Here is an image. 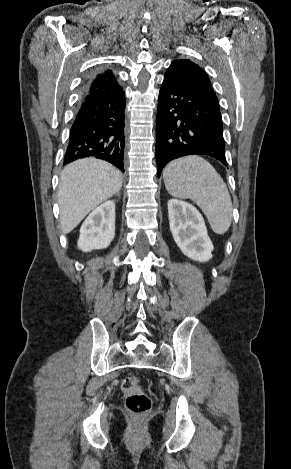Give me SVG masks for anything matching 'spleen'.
<instances>
[{"label": "spleen", "mask_w": 291, "mask_h": 469, "mask_svg": "<svg viewBox=\"0 0 291 469\" xmlns=\"http://www.w3.org/2000/svg\"><path fill=\"white\" fill-rule=\"evenodd\" d=\"M166 190L174 197L191 199L205 214L219 235L232 222V201L226 184L215 168L196 155L171 161L163 170Z\"/></svg>", "instance_id": "spleen-1"}]
</instances>
